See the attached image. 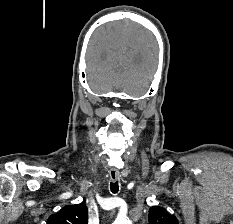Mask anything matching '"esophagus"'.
<instances>
[{
    "label": "esophagus",
    "instance_id": "obj_1",
    "mask_svg": "<svg viewBox=\"0 0 233 224\" xmlns=\"http://www.w3.org/2000/svg\"><path fill=\"white\" fill-rule=\"evenodd\" d=\"M109 176H110V180H111L112 182H115V181H117V180L120 179V176H121V175H120V173H119L118 170L112 169V170L109 171Z\"/></svg>",
    "mask_w": 233,
    "mask_h": 224
}]
</instances>
